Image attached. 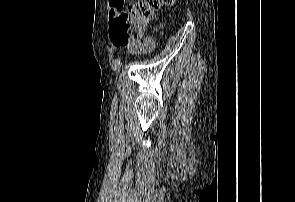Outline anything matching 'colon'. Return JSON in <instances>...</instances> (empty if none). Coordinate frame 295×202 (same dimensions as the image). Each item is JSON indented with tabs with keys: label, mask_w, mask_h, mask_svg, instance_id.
Listing matches in <instances>:
<instances>
[{
	"label": "colon",
	"mask_w": 295,
	"mask_h": 202,
	"mask_svg": "<svg viewBox=\"0 0 295 202\" xmlns=\"http://www.w3.org/2000/svg\"><path fill=\"white\" fill-rule=\"evenodd\" d=\"M173 3L174 0H139L129 5L114 19L112 41L116 45L128 44L138 51H147L151 44L144 39L146 30L156 13Z\"/></svg>",
	"instance_id": "colon-1"
}]
</instances>
